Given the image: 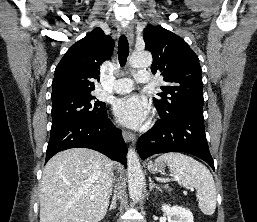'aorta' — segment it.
<instances>
[{"mask_svg":"<svg viewBox=\"0 0 257 222\" xmlns=\"http://www.w3.org/2000/svg\"><path fill=\"white\" fill-rule=\"evenodd\" d=\"M152 64V55L148 51H136L130 58V65L134 68H146ZM128 189L130 197L138 201L141 198L144 174L137 153L129 149L127 153Z\"/></svg>","mask_w":257,"mask_h":222,"instance_id":"obj_1","label":"aorta"}]
</instances>
